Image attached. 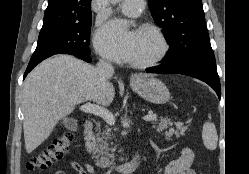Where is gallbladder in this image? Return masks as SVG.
Instances as JSON below:
<instances>
[{
	"mask_svg": "<svg viewBox=\"0 0 249 174\" xmlns=\"http://www.w3.org/2000/svg\"><path fill=\"white\" fill-rule=\"evenodd\" d=\"M63 124L67 129L76 130L77 129V121L73 118H64Z\"/></svg>",
	"mask_w": 249,
	"mask_h": 174,
	"instance_id": "obj_1",
	"label": "gallbladder"
}]
</instances>
